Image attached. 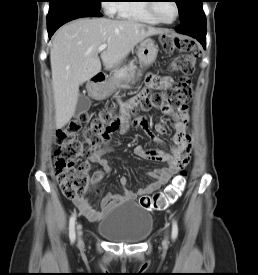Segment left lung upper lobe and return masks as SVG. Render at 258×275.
Here are the masks:
<instances>
[{
	"label": "left lung upper lobe",
	"mask_w": 258,
	"mask_h": 275,
	"mask_svg": "<svg viewBox=\"0 0 258 275\" xmlns=\"http://www.w3.org/2000/svg\"><path fill=\"white\" fill-rule=\"evenodd\" d=\"M196 0H175L178 6L179 10V17L182 20L186 13L189 11L190 6L195 2Z\"/></svg>",
	"instance_id": "5c2ea615"
}]
</instances>
